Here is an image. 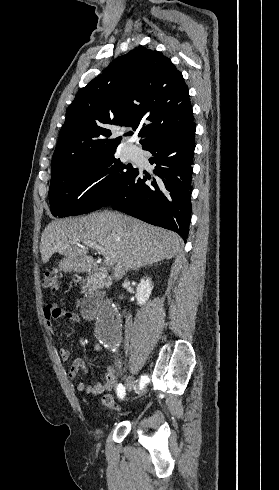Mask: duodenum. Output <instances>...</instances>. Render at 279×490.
<instances>
[{"label":"duodenum","mask_w":279,"mask_h":490,"mask_svg":"<svg viewBox=\"0 0 279 490\" xmlns=\"http://www.w3.org/2000/svg\"><path fill=\"white\" fill-rule=\"evenodd\" d=\"M96 312L95 300L92 296H87L81 303V314L85 319H92Z\"/></svg>","instance_id":"410a0bca"}]
</instances>
